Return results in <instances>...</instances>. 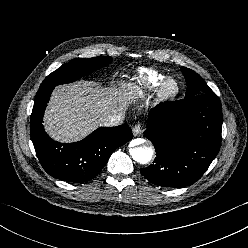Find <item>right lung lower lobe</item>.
Here are the masks:
<instances>
[{"instance_id": "98d812e1", "label": "right lung lower lobe", "mask_w": 248, "mask_h": 248, "mask_svg": "<svg viewBox=\"0 0 248 248\" xmlns=\"http://www.w3.org/2000/svg\"><path fill=\"white\" fill-rule=\"evenodd\" d=\"M53 89V86L39 89L34 101L30 133L36 154L52 177L73 183L89 181L102 170L116 148L132 139V131L123 124L101 127L76 143L63 144L52 140L42 121Z\"/></svg>"}]
</instances>
